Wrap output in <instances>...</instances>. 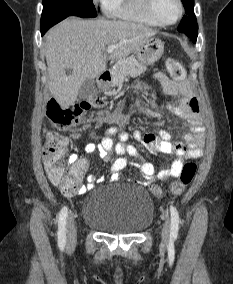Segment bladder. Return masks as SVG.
I'll return each instance as SVG.
<instances>
[{
  "mask_svg": "<svg viewBox=\"0 0 233 284\" xmlns=\"http://www.w3.org/2000/svg\"><path fill=\"white\" fill-rule=\"evenodd\" d=\"M154 213L150 195L134 185L97 189L87 195L83 205L84 223L109 234L141 233L151 225Z\"/></svg>",
  "mask_w": 233,
  "mask_h": 284,
  "instance_id": "1",
  "label": "bladder"
}]
</instances>
